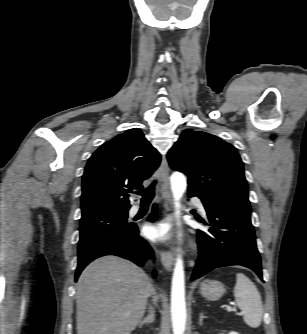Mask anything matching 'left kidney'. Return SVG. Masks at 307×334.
Returning <instances> with one entry per match:
<instances>
[{"label": "left kidney", "instance_id": "obj_1", "mask_svg": "<svg viewBox=\"0 0 307 334\" xmlns=\"http://www.w3.org/2000/svg\"><path fill=\"white\" fill-rule=\"evenodd\" d=\"M229 334H239V333H237V332H230Z\"/></svg>", "mask_w": 307, "mask_h": 334}]
</instances>
